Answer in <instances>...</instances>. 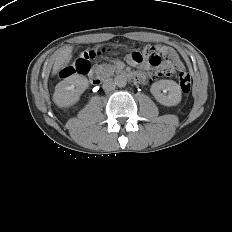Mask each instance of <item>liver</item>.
<instances>
[{"instance_id": "1", "label": "liver", "mask_w": 232, "mask_h": 232, "mask_svg": "<svg viewBox=\"0 0 232 232\" xmlns=\"http://www.w3.org/2000/svg\"><path fill=\"white\" fill-rule=\"evenodd\" d=\"M72 46H68L60 51V53L57 55L53 69L52 74L55 75L59 70H61L65 65H67L71 58H72Z\"/></svg>"}]
</instances>
